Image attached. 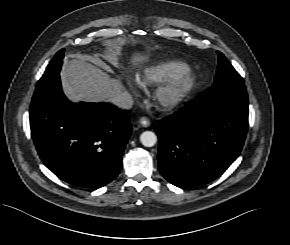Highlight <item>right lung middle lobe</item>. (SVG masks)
<instances>
[{
	"instance_id": "1",
	"label": "right lung middle lobe",
	"mask_w": 290,
	"mask_h": 245,
	"mask_svg": "<svg viewBox=\"0 0 290 245\" xmlns=\"http://www.w3.org/2000/svg\"><path fill=\"white\" fill-rule=\"evenodd\" d=\"M63 57H64V49H61L56 53V55L46 68L40 80H45L47 78H51L58 75L62 66Z\"/></svg>"
}]
</instances>
